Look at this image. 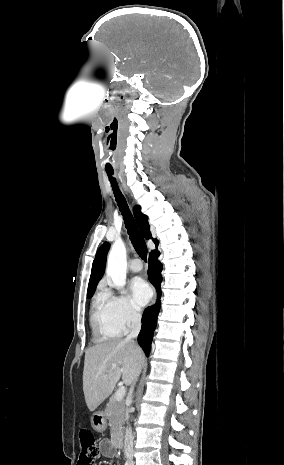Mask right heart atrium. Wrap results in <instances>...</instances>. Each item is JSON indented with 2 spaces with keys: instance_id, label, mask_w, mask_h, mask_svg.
Listing matches in <instances>:
<instances>
[{
  "instance_id": "obj_1",
  "label": "right heart atrium",
  "mask_w": 284,
  "mask_h": 465,
  "mask_svg": "<svg viewBox=\"0 0 284 465\" xmlns=\"http://www.w3.org/2000/svg\"><path fill=\"white\" fill-rule=\"evenodd\" d=\"M98 299L104 301L116 323L125 331L132 329L141 320V312L134 308L123 295H115L106 288L98 293Z\"/></svg>"
}]
</instances>
